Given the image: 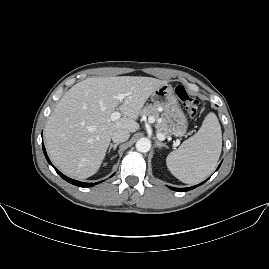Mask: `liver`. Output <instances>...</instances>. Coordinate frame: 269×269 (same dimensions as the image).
Masks as SVG:
<instances>
[{"label": "liver", "mask_w": 269, "mask_h": 269, "mask_svg": "<svg viewBox=\"0 0 269 269\" xmlns=\"http://www.w3.org/2000/svg\"><path fill=\"white\" fill-rule=\"evenodd\" d=\"M167 81L152 77L87 78L61 98L45 127V144L52 162L69 177L94 175L105 157L113 133L139 129L136 119L149 96ZM128 93L122 101L116 97ZM122 117L112 121L111 114Z\"/></svg>", "instance_id": "obj_1"}]
</instances>
